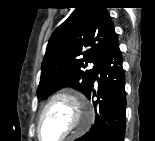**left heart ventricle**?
<instances>
[{"instance_id": "b2bd125f", "label": "left heart ventricle", "mask_w": 155, "mask_h": 141, "mask_svg": "<svg viewBox=\"0 0 155 141\" xmlns=\"http://www.w3.org/2000/svg\"><path fill=\"white\" fill-rule=\"evenodd\" d=\"M74 125L73 110L69 103L58 101L44 114L41 135L45 141L58 140Z\"/></svg>"}]
</instances>
